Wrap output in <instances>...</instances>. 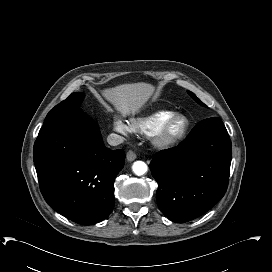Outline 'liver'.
<instances>
[{
	"label": "liver",
	"instance_id": "6515ba94",
	"mask_svg": "<svg viewBox=\"0 0 272 272\" xmlns=\"http://www.w3.org/2000/svg\"><path fill=\"white\" fill-rule=\"evenodd\" d=\"M154 87L147 83L122 84L102 91L104 98L123 116L138 112L147 102Z\"/></svg>",
	"mask_w": 272,
	"mask_h": 272
}]
</instances>
